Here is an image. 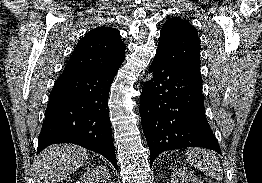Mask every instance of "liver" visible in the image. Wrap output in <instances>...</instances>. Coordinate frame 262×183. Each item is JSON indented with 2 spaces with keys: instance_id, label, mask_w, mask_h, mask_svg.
Instances as JSON below:
<instances>
[{
  "instance_id": "liver-1",
  "label": "liver",
  "mask_w": 262,
  "mask_h": 183,
  "mask_svg": "<svg viewBox=\"0 0 262 183\" xmlns=\"http://www.w3.org/2000/svg\"><path fill=\"white\" fill-rule=\"evenodd\" d=\"M88 159L87 151L73 144H56L46 148L35 163L37 183H56L79 169Z\"/></svg>"
}]
</instances>
